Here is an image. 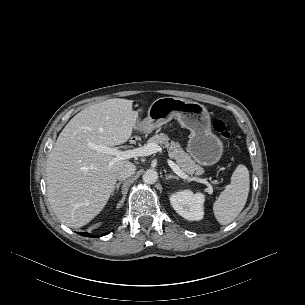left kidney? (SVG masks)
<instances>
[{"label": "left kidney", "mask_w": 305, "mask_h": 305, "mask_svg": "<svg viewBox=\"0 0 305 305\" xmlns=\"http://www.w3.org/2000/svg\"><path fill=\"white\" fill-rule=\"evenodd\" d=\"M204 201L202 193L194 194L190 190L177 192L170 197V203L174 210L189 221H199L203 218Z\"/></svg>", "instance_id": "obj_1"}]
</instances>
